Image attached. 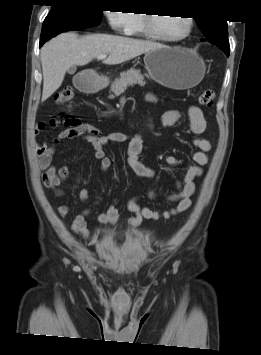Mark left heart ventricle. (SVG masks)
I'll return each instance as SVG.
<instances>
[{
  "mask_svg": "<svg viewBox=\"0 0 261 355\" xmlns=\"http://www.w3.org/2000/svg\"><path fill=\"white\" fill-rule=\"evenodd\" d=\"M154 24L158 32L167 37L176 38L183 35L188 28L184 17H155Z\"/></svg>",
  "mask_w": 261,
  "mask_h": 355,
  "instance_id": "1",
  "label": "left heart ventricle"
}]
</instances>
